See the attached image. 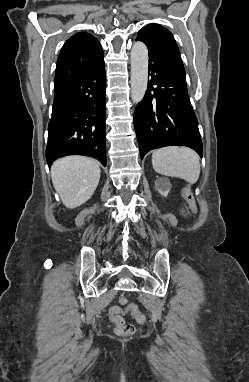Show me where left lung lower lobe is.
Masks as SVG:
<instances>
[{
    "label": "left lung lower lobe",
    "instance_id": "0a47b994",
    "mask_svg": "<svg viewBox=\"0 0 249 382\" xmlns=\"http://www.w3.org/2000/svg\"><path fill=\"white\" fill-rule=\"evenodd\" d=\"M149 71L148 89L134 112L141 158L152 149L171 145L190 147L202 157L198 121L188 96L185 75L151 54Z\"/></svg>",
    "mask_w": 249,
    "mask_h": 382
}]
</instances>
